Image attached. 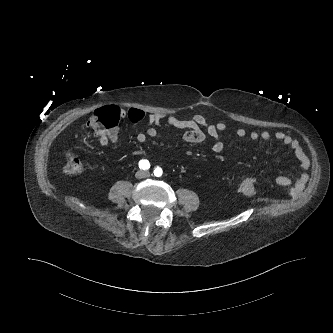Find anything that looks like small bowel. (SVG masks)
<instances>
[{"instance_id":"obj_1","label":"small bowel","mask_w":333,"mask_h":333,"mask_svg":"<svg viewBox=\"0 0 333 333\" xmlns=\"http://www.w3.org/2000/svg\"><path fill=\"white\" fill-rule=\"evenodd\" d=\"M120 114V112H119ZM123 118H127L134 123L146 121L148 127L144 132H140L136 136L139 143H145L148 138H155L159 134V128L172 127L175 129L183 130L181 136L182 140L190 144L202 143L207 136L212 139L210 149L213 153L218 154L224 149V142L221 135L228 130V125L224 122L211 123L208 119L201 115L196 114L188 119H183L175 116L166 115L164 113L145 114L144 111L137 108H130L121 112ZM234 134L238 138L249 137L252 141H270L272 139L278 140L288 146L295 155L304 171L309 168V159L305 154L300 142L286 134L283 131L270 132L264 131H247L238 127L234 130ZM117 142V133L108 132L105 135H100L96 139V144L100 148L113 146ZM279 185L291 186V194H296L305 182V175H302L298 180L293 181L289 177H279L277 179Z\"/></svg>"}]
</instances>
